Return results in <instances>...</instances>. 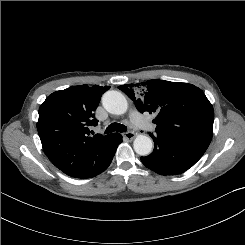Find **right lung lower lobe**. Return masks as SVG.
I'll return each mask as SVG.
<instances>
[{
	"label": "right lung lower lobe",
	"instance_id": "obj_1",
	"mask_svg": "<svg viewBox=\"0 0 245 245\" xmlns=\"http://www.w3.org/2000/svg\"><path fill=\"white\" fill-rule=\"evenodd\" d=\"M121 142H122V135L119 133H116L112 138L111 147H110L109 151L107 152L105 159L103 160L101 165L95 170V172L92 175H90L89 177H94V176L100 174L101 172H103L105 169H107V167L110 165V163L114 157V154L116 152L118 145Z\"/></svg>",
	"mask_w": 245,
	"mask_h": 245
}]
</instances>
